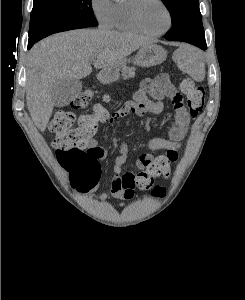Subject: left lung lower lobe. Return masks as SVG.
I'll use <instances>...</instances> for the list:
<instances>
[{"instance_id": "left-lung-lower-lobe-1", "label": "left lung lower lobe", "mask_w": 245, "mask_h": 300, "mask_svg": "<svg viewBox=\"0 0 245 300\" xmlns=\"http://www.w3.org/2000/svg\"><path fill=\"white\" fill-rule=\"evenodd\" d=\"M167 40L188 42V43L193 44L201 49H204V50L206 49L204 32H195L186 37H174V38H169Z\"/></svg>"}]
</instances>
